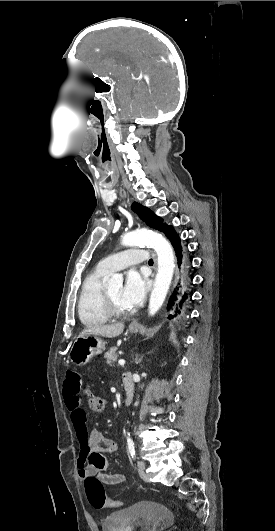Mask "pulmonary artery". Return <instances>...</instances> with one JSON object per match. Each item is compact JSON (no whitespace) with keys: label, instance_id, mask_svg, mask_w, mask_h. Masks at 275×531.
<instances>
[{"label":"pulmonary artery","instance_id":"1","mask_svg":"<svg viewBox=\"0 0 275 531\" xmlns=\"http://www.w3.org/2000/svg\"><path fill=\"white\" fill-rule=\"evenodd\" d=\"M153 253L148 250H141L138 246L132 245L128 250L118 254H110L106 257V261H99V272H112L114 275H119L126 265H146L148 258H151ZM130 266V265H129Z\"/></svg>","mask_w":275,"mask_h":531}]
</instances>
